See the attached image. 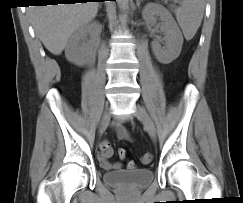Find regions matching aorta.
I'll return each mask as SVG.
<instances>
[{
	"mask_svg": "<svg viewBox=\"0 0 243 203\" xmlns=\"http://www.w3.org/2000/svg\"><path fill=\"white\" fill-rule=\"evenodd\" d=\"M117 4L120 12L122 13V17L125 18L129 8V0H117Z\"/></svg>",
	"mask_w": 243,
	"mask_h": 203,
	"instance_id": "1",
	"label": "aorta"
}]
</instances>
